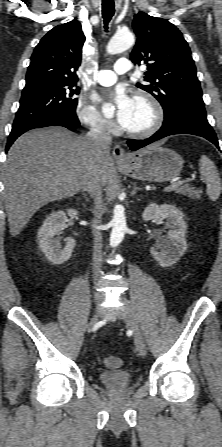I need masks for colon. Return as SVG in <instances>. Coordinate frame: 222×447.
<instances>
[{
    "instance_id": "obj_1",
    "label": "colon",
    "mask_w": 222,
    "mask_h": 447,
    "mask_svg": "<svg viewBox=\"0 0 222 447\" xmlns=\"http://www.w3.org/2000/svg\"><path fill=\"white\" fill-rule=\"evenodd\" d=\"M103 362L107 367L112 369H116L122 364L121 359L117 356H110L108 358H105Z\"/></svg>"
}]
</instances>
